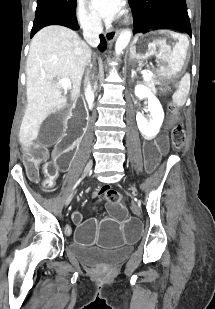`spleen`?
<instances>
[{
    "instance_id": "3e777b00",
    "label": "spleen",
    "mask_w": 215,
    "mask_h": 309,
    "mask_svg": "<svg viewBox=\"0 0 215 309\" xmlns=\"http://www.w3.org/2000/svg\"><path fill=\"white\" fill-rule=\"evenodd\" d=\"M184 84H188V86H189V84H190L189 74H185V76H183V78H181L179 88H178V90H176V92H174V94L172 96L173 102H175V104H177V106H183V104H185V102H186V96L182 92V86H184Z\"/></svg>"
}]
</instances>
